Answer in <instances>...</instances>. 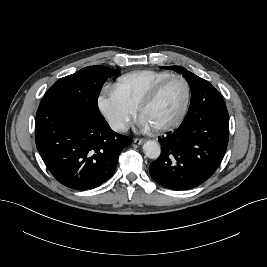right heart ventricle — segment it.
Returning a JSON list of instances; mask_svg holds the SVG:
<instances>
[{
    "mask_svg": "<svg viewBox=\"0 0 267 267\" xmlns=\"http://www.w3.org/2000/svg\"><path fill=\"white\" fill-rule=\"evenodd\" d=\"M170 74V72L155 70L131 72L119 77L113 89L129 105L137 109L151 88Z\"/></svg>",
    "mask_w": 267,
    "mask_h": 267,
    "instance_id": "obj_1",
    "label": "right heart ventricle"
}]
</instances>
